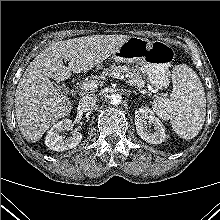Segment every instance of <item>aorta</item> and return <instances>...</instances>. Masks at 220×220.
<instances>
[{
	"label": "aorta",
	"instance_id": "obj_1",
	"mask_svg": "<svg viewBox=\"0 0 220 220\" xmlns=\"http://www.w3.org/2000/svg\"><path fill=\"white\" fill-rule=\"evenodd\" d=\"M110 102L112 105H119L122 103V96L120 94H112L110 97Z\"/></svg>",
	"mask_w": 220,
	"mask_h": 220
}]
</instances>
